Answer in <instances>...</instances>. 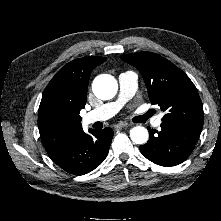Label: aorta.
<instances>
[{
    "label": "aorta",
    "instance_id": "aorta-1",
    "mask_svg": "<svg viewBox=\"0 0 221 221\" xmlns=\"http://www.w3.org/2000/svg\"><path fill=\"white\" fill-rule=\"evenodd\" d=\"M117 89L116 79L108 74L97 76L92 84L93 93L102 100L113 98ZM130 138L136 144H144L149 138L148 130L143 126H136L130 130Z\"/></svg>",
    "mask_w": 221,
    "mask_h": 221
}]
</instances>
